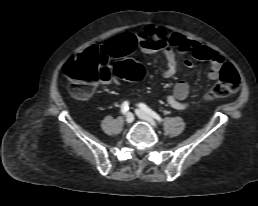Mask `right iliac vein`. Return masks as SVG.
I'll return each instance as SVG.
<instances>
[{
	"mask_svg": "<svg viewBox=\"0 0 258 206\" xmlns=\"http://www.w3.org/2000/svg\"><path fill=\"white\" fill-rule=\"evenodd\" d=\"M133 121H134V115H133L131 112L127 113V114H126V122H127L128 124H130V123H132Z\"/></svg>",
	"mask_w": 258,
	"mask_h": 206,
	"instance_id": "right-iliac-vein-1",
	"label": "right iliac vein"
}]
</instances>
